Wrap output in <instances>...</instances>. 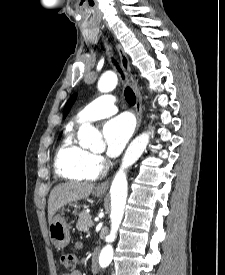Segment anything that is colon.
I'll list each match as a JSON object with an SVG mask.
<instances>
[{"mask_svg": "<svg viewBox=\"0 0 225 275\" xmlns=\"http://www.w3.org/2000/svg\"><path fill=\"white\" fill-rule=\"evenodd\" d=\"M60 264L69 271H74L76 268L77 258L74 253H63L59 258Z\"/></svg>", "mask_w": 225, "mask_h": 275, "instance_id": "5ec220e1", "label": "colon"}]
</instances>
